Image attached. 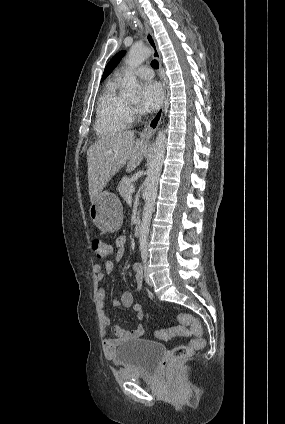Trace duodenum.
Segmentation results:
<instances>
[{
	"mask_svg": "<svg viewBox=\"0 0 285 424\" xmlns=\"http://www.w3.org/2000/svg\"><path fill=\"white\" fill-rule=\"evenodd\" d=\"M141 235V219L138 220V222L136 223L135 227H134V236L135 237H140Z\"/></svg>",
	"mask_w": 285,
	"mask_h": 424,
	"instance_id": "1",
	"label": "duodenum"
}]
</instances>
